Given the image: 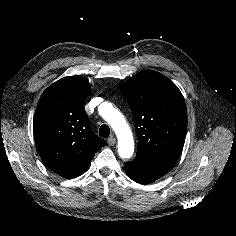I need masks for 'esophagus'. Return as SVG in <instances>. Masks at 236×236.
Instances as JSON below:
<instances>
[{"instance_id": "1", "label": "esophagus", "mask_w": 236, "mask_h": 236, "mask_svg": "<svg viewBox=\"0 0 236 236\" xmlns=\"http://www.w3.org/2000/svg\"><path fill=\"white\" fill-rule=\"evenodd\" d=\"M107 142L110 146H113L116 143V139L114 137H111V138L108 139Z\"/></svg>"}]
</instances>
